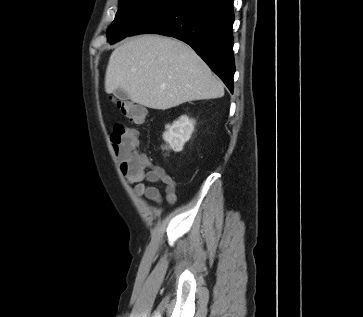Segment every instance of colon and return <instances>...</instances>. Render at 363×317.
<instances>
[{
  "mask_svg": "<svg viewBox=\"0 0 363 317\" xmlns=\"http://www.w3.org/2000/svg\"><path fill=\"white\" fill-rule=\"evenodd\" d=\"M118 108L125 118L136 124H142L145 121V109L132 101H118ZM110 144L121 162V168L129 167L139 170L143 167L144 158L137 151L138 135L135 130L117 124L111 132Z\"/></svg>",
  "mask_w": 363,
  "mask_h": 317,
  "instance_id": "colon-1",
  "label": "colon"
}]
</instances>
